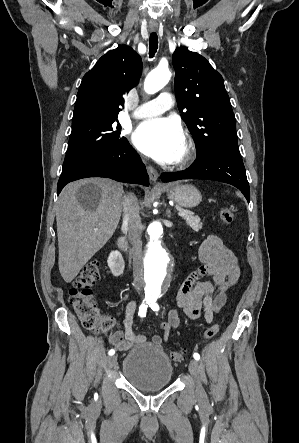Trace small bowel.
Instances as JSON below:
<instances>
[{
	"label": "small bowel",
	"mask_w": 299,
	"mask_h": 443,
	"mask_svg": "<svg viewBox=\"0 0 299 443\" xmlns=\"http://www.w3.org/2000/svg\"><path fill=\"white\" fill-rule=\"evenodd\" d=\"M201 265L182 283L177 294V308L169 312L168 320L159 325L162 335H154L151 344L161 347L172 331L180 326L178 310L187 317L197 319L204 316L211 323L227 301V290L235 286L241 276V266L237 256L226 247L221 239L210 234L202 243L199 252ZM210 277V280L203 278ZM136 302L130 301L125 308L124 330L114 332L110 343L119 351H127L133 345L143 344L146 338L133 330Z\"/></svg>",
	"instance_id": "small-bowel-1"
}]
</instances>
